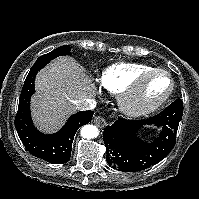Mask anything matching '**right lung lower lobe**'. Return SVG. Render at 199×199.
I'll list each match as a JSON object with an SVG mask.
<instances>
[{"mask_svg": "<svg viewBox=\"0 0 199 199\" xmlns=\"http://www.w3.org/2000/svg\"><path fill=\"white\" fill-rule=\"evenodd\" d=\"M49 62L34 64L24 82L18 112L15 117V127L26 149L35 157L52 164H63L71 157L72 142L79 127L89 123L93 111H80L72 115L63 128L52 135L39 132L33 125L30 115V98L35 92V76Z\"/></svg>", "mask_w": 199, "mask_h": 199, "instance_id": "obj_1", "label": "right lung lower lobe"}]
</instances>
